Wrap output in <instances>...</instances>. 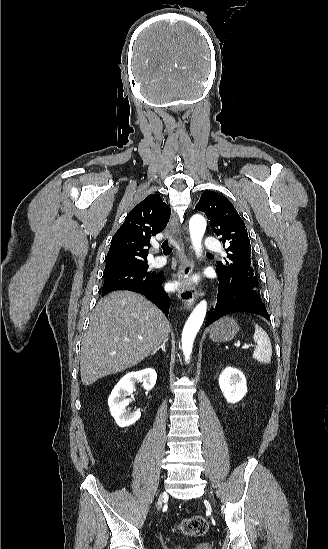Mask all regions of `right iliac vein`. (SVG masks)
Wrapping results in <instances>:
<instances>
[{"instance_id":"1","label":"right iliac vein","mask_w":328,"mask_h":549,"mask_svg":"<svg viewBox=\"0 0 328 549\" xmlns=\"http://www.w3.org/2000/svg\"><path fill=\"white\" fill-rule=\"evenodd\" d=\"M167 494L165 492H161L160 494V498H159V501H158V506H157V510H161L162 508V502L163 500L166 498Z\"/></svg>"}]
</instances>
